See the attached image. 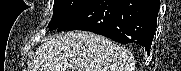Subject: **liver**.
I'll return each mask as SVG.
<instances>
[{
    "mask_svg": "<svg viewBox=\"0 0 181 71\" xmlns=\"http://www.w3.org/2000/svg\"><path fill=\"white\" fill-rule=\"evenodd\" d=\"M132 54L89 32H62L38 47L31 71H134Z\"/></svg>",
    "mask_w": 181,
    "mask_h": 71,
    "instance_id": "liver-1",
    "label": "liver"
}]
</instances>
